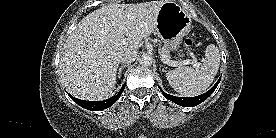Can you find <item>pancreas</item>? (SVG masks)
<instances>
[{"label": "pancreas", "instance_id": "cf45deb5", "mask_svg": "<svg viewBox=\"0 0 276 138\" xmlns=\"http://www.w3.org/2000/svg\"><path fill=\"white\" fill-rule=\"evenodd\" d=\"M159 53L170 60V53L167 47L159 48Z\"/></svg>", "mask_w": 276, "mask_h": 138}]
</instances>
